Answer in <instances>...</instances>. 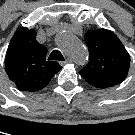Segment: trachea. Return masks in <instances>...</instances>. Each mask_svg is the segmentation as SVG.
Instances as JSON below:
<instances>
[{
    "instance_id": "1",
    "label": "trachea",
    "mask_w": 135,
    "mask_h": 135,
    "mask_svg": "<svg viewBox=\"0 0 135 135\" xmlns=\"http://www.w3.org/2000/svg\"><path fill=\"white\" fill-rule=\"evenodd\" d=\"M48 60H60V61H64V57H63V55H62V53L60 51L54 50L49 55Z\"/></svg>"
}]
</instances>
